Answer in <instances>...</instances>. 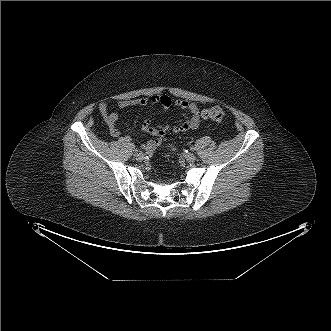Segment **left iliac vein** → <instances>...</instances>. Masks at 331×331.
<instances>
[{"instance_id": "left-iliac-vein-1", "label": "left iliac vein", "mask_w": 331, "mask_h": 331, "mask_svg": "<svg viewBox=\"0 0 331 331\" xmlns=\"http://www.w3.org/2000/svg\"><path fill=\"white\" fill-rule=\"evenodd\" d=\"M184 158L187 162L189 163H193L195 160H196V157L194 154H191V153H187L184 155Z\"/></svg>"}]
</instances>
